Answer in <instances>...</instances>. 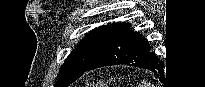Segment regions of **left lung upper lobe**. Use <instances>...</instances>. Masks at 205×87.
<instances>
[{
  "instance_id": "obj_1",
  "label": "left lung upper lobe",
  "mask_w": 205,
  "mask_h": 87,
  "mask_svg": "<svg viewBox=\"0 0 205 87\" xmlns=\"http://www.w3.org/2000/svg\"><path fill=\"white\" fill-rule=\"evenodd\" d=\"M120 23L95 28L71 52L60 69L55 87H67L77 80L90 66L101 48Z\"/></svg>"
}]
</instances>
